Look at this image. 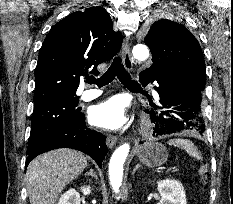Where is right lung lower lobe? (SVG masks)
<instances>
[{
    "label": "right lung lower lobe",
    "instance_id": "1",
    "mask_svg": "<svg viewBox=\"0 0 233 204\" xmlns=\"http://www.w3.org/2000/svg\"><path fill=\"white\" fill-rule=\"evenodd\" d=\"M105 140L106 137L103 134L86 127L85 116L83 114L75 123L62 128L47 136L36 145L29 147L25 169L31 160L39 154L57 148H72L84 152L92 157L99 167H101L102 161L108 151Z\"/></svg>",
    "mask_w": 233,
    "mask_h": 204
}]
</instances>
